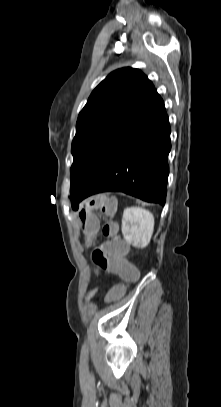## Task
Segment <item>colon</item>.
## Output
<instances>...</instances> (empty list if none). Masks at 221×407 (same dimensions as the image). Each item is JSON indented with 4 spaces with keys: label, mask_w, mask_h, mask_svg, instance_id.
<instances>
[{
    "label": "colon",
    "mask_w": 221,
    "mask_h": 407,
    "mask_svg": "<svg viewBox=\"0 0 221 407\" xmlns=\"http://www.w3.org/2000/svg\"><path fill=\"white\" fill-rule=\"evenodd\" d=\"M100 211L106 221L101 227L102 234L110 239H105L103 245L92 251V260L98 267L94 274L100 277L103 271L116 273L118 279L123 282H116L107 290L103 297L104 304H120L130 291L128 284H138L139 268L133 265L132 260H127L125 256L128 252V244L120 237L118 225L113 221L117 211L116 202L104 195H97L86 201L78 211V218L81 229L85 235V242L88 248L92 247L95 236L99 231V222L94 215V211Z\"/></svg>",
    "instance_id": "obj_1"
}]
</instances>
